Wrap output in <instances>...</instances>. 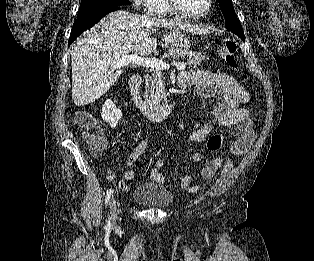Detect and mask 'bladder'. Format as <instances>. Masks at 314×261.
<instances>
[{
	"label": "bladder",
	"instance_id": "bladder-1",
	"mask_svg": "<svg viewBox=\"0 0 314 261\" xmlns=\"http://www.w3.org/2000/svg\"><path fill=\"white\" fill-rule=\"evenodd\" d=\"M132 197L138 203L149 208H166L173 202L172 192L152 182L138 185Z\"/></svg>",
	"mask_w": 314,
	"mask_h": 261
}]
</instances>
